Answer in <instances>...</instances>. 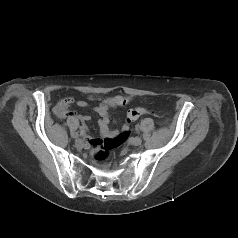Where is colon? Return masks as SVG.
I'll use <instances>...</instances> for the list:
<instances>
[{"mask_svg": "<svg viewBox=\"0 0 238 238\" xmlns=\"http://www.w3.org/2000/svg\"><path fill=\"white\" fill-rule=\"evenodd\" d=\"M147 112L148 111L144 108H136L133 110H129L125 118L122 120V128L120 134L112 138L98 140L93 145L94 157L97 159H105L109 151L115 149L126 140L131 130V123H133L138 117Z\"/></svg>", "mask_w": 238, "mask_h": 238, "instance_id": "obj_1", "label": "colon"}]
</instances>
